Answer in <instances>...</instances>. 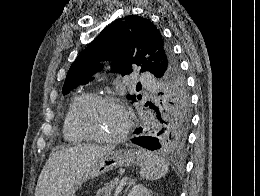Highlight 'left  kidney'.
Segmentation results:
<instances>
[{
	"instance_id": "obj_1",
	"label": "left kidney",
	"mask_w": 260,
	"mask_h": 196,
	"mask_svg": "<svg viewBox=\"0 0 260 196\" xmlns=\"http://www.w3.org/2000/svg\"><path fill=\"white\" fill-rule=\"evenodd\" d=\"M128 196H151V192H148L144 184H137V186H133Z\"/></svg>"
}]
</instances>
